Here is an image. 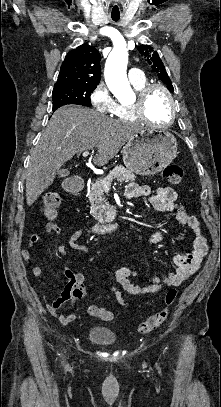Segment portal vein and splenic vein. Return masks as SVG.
Returning a JSON list of instances; mask_svg holds the SVG:
<instances>
[{
	"label": "portal vein and splenic vein",
	"instance_id": "obj_1",
	"mask_svg": "<svg viewBox=\"0 0 221 407\" xmlns=\"http://www.w3.org/2000/svg\"><path fill=\"white\" fill-rule=\"evenodd\" d=\"M88 155H89L88 151H84L82 154L83 157H87ZM101 184L104 189H109L111 186V181L101 180Z\"/></svg>",
	"mask_w": 221,
	"mask_h": 407
}]
</instances>
